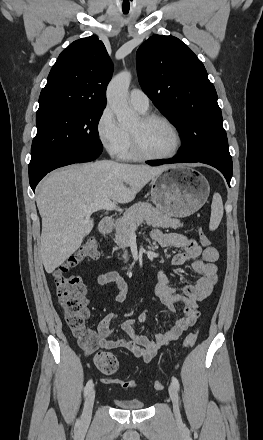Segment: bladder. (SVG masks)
<instances>
[{
  "mask_svg": "<svg viewBox=\"0 0 263 440\" xmlns=\"http://www.w3.org/2000/svg\"><path fill=\"white\" fill-rule=\"evenodd\" d=\"M114 402L118 408L125 410H141L145 407V404L138 399H115Z\"/></svg>",
  "mask_w": 263,
  "mask_h": 440,
  "instance_id": "1",
  "label": "bladder"
}]
</instances>
